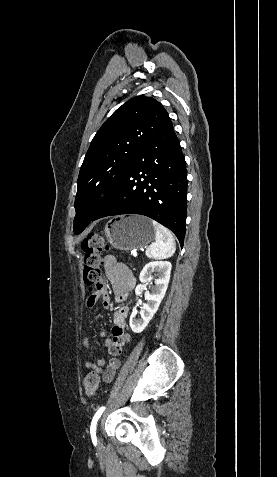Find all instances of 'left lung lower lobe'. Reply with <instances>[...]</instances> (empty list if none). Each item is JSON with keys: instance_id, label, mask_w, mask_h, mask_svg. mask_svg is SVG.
Listing matches in <instances>:
<instances>
[{"instance_id": "0a47b994", "label": "left lung lower lobe", "mask_w": 277, "mask_h": 477, "mask_svg": "<svg viewBox=\"0 0 277 477\" xmlns=\"http://www.w3.org/2000/svg\"><path fill=\"white\" fill-rule=\"evenodd\" d=\"M120 214L148 216L169 228L183 245L187 173L171 121L138 152L92 221Z\"/></svg>"}]
</instances>
